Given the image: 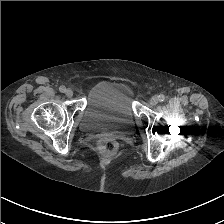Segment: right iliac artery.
Segmentation results:
<instances>
[{
  "label": "right iliac artery",
  "mask_w": 224,
  "mask_h": 224,
  "mask_svg": "<svg viewBox=\"0 0 224 224\" xmlns=\"http://www.w3.org/2000/svg\"><path fill=\"white\" fill-rule=\"evenodd\" d=\"M59 91H60L61 93L66 92V87H65L64 85L60 86V87H59Z\"/></svg>",
  "instance_id": "right-iliac-artery-1"
}]
</instances>
